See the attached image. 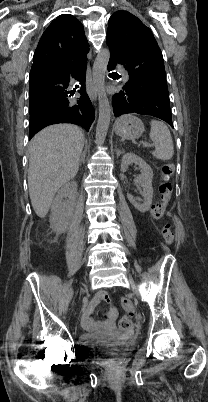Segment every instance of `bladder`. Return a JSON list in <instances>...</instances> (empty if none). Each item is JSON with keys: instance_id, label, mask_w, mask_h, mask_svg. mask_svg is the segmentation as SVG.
<instances>
[{"instance_id": "31cf9c89", "label": "bladder", "mask_w": 208, "mask_h": 402, "mask_svg": "<svg viewBox=\"0 0 208 402\" xmlns=\"http://www.w3.org/2000/svg\"><path fill=\"white\" fill-rule=\"evenodd\" d=\"M115 341H117V339L113 336L99 337L97 335H84L82 339V346L83 348L90 349L94 352H102ZM136 342L137 339H126L122 341L120 345H126L131 348Z\"/></svg>"}]
</instances>
